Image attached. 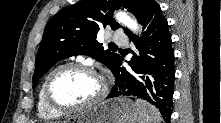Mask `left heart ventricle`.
<instances>
[{"mask_svg":"<svg viewBox=\"0 0 221 123\" xmlns=\"http://www.w3.org/2000/svg\"><path fill=\"white\" fill-rule=\"evenodd\" d=\"M51 90L54 98L62 104H82L93 100L99 94L101 81L90 72L71 68L55 76Z\"/></svg>","mask_w":221,"mask_h":123,"instance_id":"b2bd125f","label":"left heart ventricle"}]
</instances>
